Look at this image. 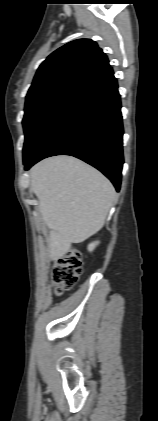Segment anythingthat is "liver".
<instances>
[{"instance_id":"obj_1","label":"liver","mask_w":158,"mask_h":421,"mask_svg":"<svg viewBox=\"0 0 158 421\" xmlns=\"http://www.w3.org/2000/svg\"><path fill=\"white\" fill-rule=\"evenodd\" d=\"M31 190L49 229V256L63 257L72 243H81L104 225L115 199L111 182L88 164L57 156L30 171Z\"/></svg>"}]
</instances>
